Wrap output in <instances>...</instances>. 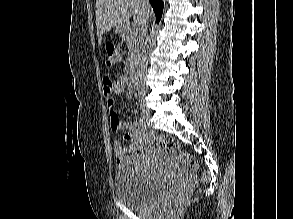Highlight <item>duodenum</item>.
<instances>
[{"mask_svg":"<svg viewBox=\"0 0 293 219\" xmlns=\"http://www.w3.org/2000/svg\"><path fill=\"white\" fill-rule=\"evenodd\" d=\"M122 37L123 39L127 40L129 38V29L128 27H123L122 28ZM125 81L126 84H129L131 87H136L137 86V72L136 69L130 68L125 76Z\"/></svg>","mask_w":293,"mask_h":219,"instance_id":"410a0bca","label":"duodenum"}]
</instances>
